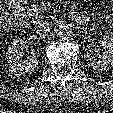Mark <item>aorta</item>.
<instances>
[{"instance_id": "aorta-1", "label": "aorta", "mask_w": 113, "mask_h": 113, "mask_svg": "<svg viewBox=\"0 0 113 113\" xmlns=\"http://www.w3.org/2000/svg\"><path fill=\"white\" fill-rule=\"evenodd\" d=\"M57 37L61 41H70L74 37V29L71 25H63L58 29Z\"/></svg>"}]
</instances>
